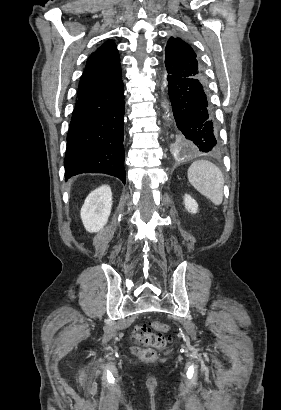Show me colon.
Wrapping results in <instances>:
<instances>
[{"label":"colon","mask_w":281,"mask_h":410,"mask_svg":"<svg viewBox=\"0 0 281 410\" xmlns=\"http://www.w3.org/2000/svg\"><path fill=\"white\" fill-rule=\"evenodd\" d=\"M168 330L169 325L161 321H152L148 326H136L132 333L136 343L133 353L144 360L154 359L155 349H163L171 342V337L166 334Z\"/></svg>","instance_id":"1"}]
</instances>
